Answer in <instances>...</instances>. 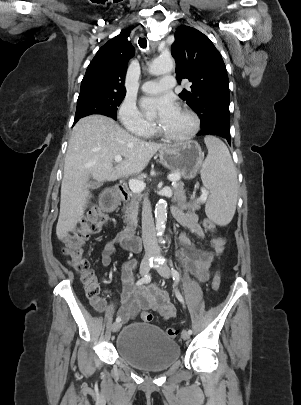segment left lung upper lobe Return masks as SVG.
<instances>
[{
    "label": "left lung upper lobe",
    "instance_id": "obj_1",
    "mask_svg": "<svg viewBox=\"0 0 301 405\" xmlns=\"http://www.w3.org/2000/svg\"><path fill=\"white\" fill-rule=\"evenodd\" d=\"M171 53L176 61V77L191 82L180 98L201 120V130H230L229 87L221 54L203 33L189 26L179 27Z\"/></svg>",
    "mask_w": 301,
    "mask_h": 405
}]
</instances>
